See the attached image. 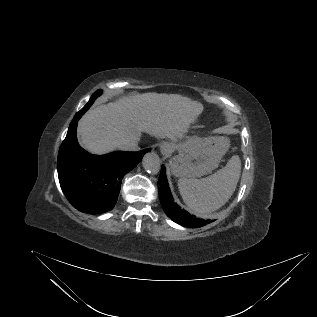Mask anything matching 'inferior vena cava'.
I'll return each mask as SVG.
<instances>
[{
  "label": "inferior vena cava",
  "mask_w": 317,
  "mask_h": 317,
  "mask_svg": "<svg viewBox=\"0 0 317 317\" xmlns=\"http://www.w3.org/2000/svg\"><path fill=\"white\" fill-rule=\"evenodd\" d=\"M119 148L125 151H137L139 150L138 144L135 141H127L119 144Z\"/></svg>",
  "instance_id": "obj_1"
}]
</instances>
